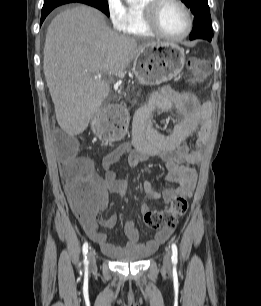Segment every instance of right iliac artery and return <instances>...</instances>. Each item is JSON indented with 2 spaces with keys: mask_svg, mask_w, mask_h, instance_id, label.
Masks as SVG:
<instances>
[{
  "mask_svg": "<svg viewBox=\"0 0 261 306\" xmlns=\"http://www.w3.org/2000/svg\"><path fill=\"white\" fill-rule=\"evenodd\" d=\"M82 251H83V255H84L83 262H84L85 266L87 267L88 264H89V261H88V258H87V253H88V243L87 242H85L83 244Z\"/></svg>",
  "mask_w": 261,
  "mask_h": 306,
  "instance_id": "obj_1",
  "label": "right iliac artery"
}]
</instances>
